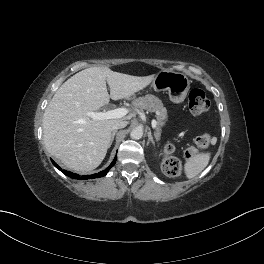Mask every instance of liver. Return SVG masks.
Returning <instances> with one entry per match:
<instances>
[{
  "instance_id": "obj_1",
  "label": "liver",
  "mask_w": 264,
  "mask_h": 264,
  "mask_svg": "<svg viewBox=\"0 0 264 264\" xmlns=\"http://www.w3.org/2000/svg\"><path fill=\"white\" fill-rule=\"evenodd\" d=\"M154 78L106 67L87 68L70 77L56 91L43 115V138L49 153L75 171L97 168L110 147L112 126L122 119L93 120L87 112L99 110L110 98L116 101L130 97Z\"/></svg>"
}]
</instances>
